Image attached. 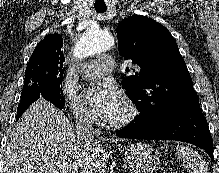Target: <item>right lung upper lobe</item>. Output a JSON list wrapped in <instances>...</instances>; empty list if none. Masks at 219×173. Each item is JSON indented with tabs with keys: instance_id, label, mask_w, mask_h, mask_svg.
Instances as JSON below:
<instances>
[{
	"instance_id": "obj_1",
	"label": "right lung upper lobe",
	"mask_w": 219,
	"mask_h": 173,
	"mask_svg": "<svg viewBox=\"0 0 219 173\" xmlns=\"http://www.w3.org/2000/svg\"><path fill=\"white\" fill-rule=\"evenodd\" d=\"M63 45L62 36L59 34H49L34 49L29 63L40 65H58L63 70L65 57L61 51Z\"/></svg>"
}]
</instances>
